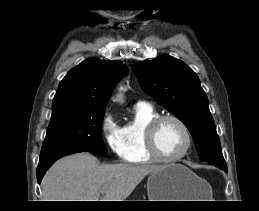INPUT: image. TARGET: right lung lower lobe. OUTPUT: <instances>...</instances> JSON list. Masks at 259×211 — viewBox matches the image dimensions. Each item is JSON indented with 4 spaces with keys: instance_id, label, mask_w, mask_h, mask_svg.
<instances>
[{
    "instance_id": "right-lung-lower-lobe-1",
    "label": "right lung lower lobe",
    "mask_w": 259,
    "mask_h": 211,
    "mask_svg": "<svg viewBox=\"0 0 259 211\" xmlns=\"http://www.w3.org/2000/svg\"><path fill=\"white\" fill-rule=\"evenodd\" d=\"M78 152H82V151H66V152H60L57 154H54L53 156L39 161V165L37 168V179H38V183L41 182L45 172L48 170V168L59 158L68 155V154H73V153H78Z\"/></svg>"
}]
</instances>
